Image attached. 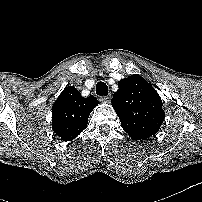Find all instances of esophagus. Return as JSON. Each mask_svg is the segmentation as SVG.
<instances>
[{"label":"esophagus","instance_id":"obj_1","mask_svg":"<svg viewBox=\"0 0 202 202\" xmlns=\"http://www.w3.org/2000/svg\"><path fill=\"white\" fill-rule=\"evenodd\" d=\"M98 99H99L101 102L109 103L110 100H111V95H108V96H99Z\"/></svg>","mask_w":202,"mask_h":202}]
</instances>
